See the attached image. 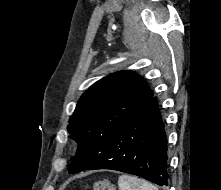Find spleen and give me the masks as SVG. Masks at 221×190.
Masks as SVG:
<instances>
[{
	"mask_svg": "<svg viewBox=\"0 0 221 190\" xmlns=\"http://www.w3.org/2000/svg\"><path fill=\"white\" fill-rule=\"evenodd\" d=\"M118 186L119 190H158L152 183L129 175L119 176Z\"/></svg>",
	"mask_w": 221,
	"mask_h": 190,
	"instance_id": "spleen-1",
	"label": "spleen"
}]
</instances>
